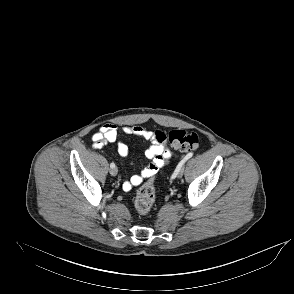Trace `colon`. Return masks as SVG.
I'll list each match as a JSON object with an SVG mask.
<instances>
[{
    "label": "colon",
    "instance_id": "colon-1",
    "mask_svg": "<svg viewBox=\"0 0 294 294\" xmlns=\"http://www.w3.org/2000/svg\"><path fill=\"white\" fill-rule=\"evenodd\" d=\"M157 139L161 142H169L174 149L189 151L195 150L200 145V137L195 132L185 130H171L167 133L156 132ZM155 202V188L153 182L142 185L136 194L135 208L140 216H146L151 211Z\"/></svg>",
    "mask_w": 294,
    "mask_h": 294
}]
</instances>
